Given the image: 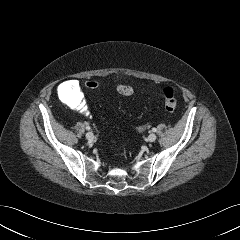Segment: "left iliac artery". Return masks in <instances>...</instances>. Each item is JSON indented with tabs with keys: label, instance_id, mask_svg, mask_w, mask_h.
Instances as JSON below:
<instances>
[{
	"label": "left iliac artery",
	"instance_id": "obj_1",
	"mask_svg": "<svg viewBox=\"0 0 240 240\" xmlns=\"http://www.w3.org/2000/svg\"><path fill=\"white\" fill-rule=\"evenodd\" d=\"M152 131H153V132H156V131H157V129H156V128H153V129H152Z\"/></svg>",
	"mask_w": 240,
	"mask_h": 240
}]
</instances>
